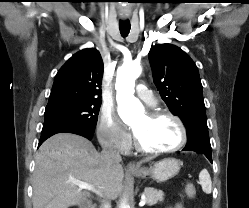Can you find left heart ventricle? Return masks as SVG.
I'll return each instance as SVG.
<instances>
[{
  "mask_svg": "<svg viewBox=\"0 0 249 208\" xmlns=\"http://www.w3.org/2000/svg\"><path fill=\"white\" fill-rule=\"evenodd\" d=\"M140 143L148 149H168L180 141V130L174 120L168 117H140L133 125Z\"/></svg>",
  "mask_w": 249,
  "mask_h": 208,
  "instance_id": "obj_1",
  "label": "left heart ventricle"
}]
</instances>
